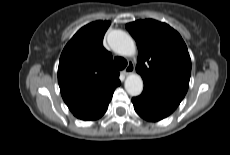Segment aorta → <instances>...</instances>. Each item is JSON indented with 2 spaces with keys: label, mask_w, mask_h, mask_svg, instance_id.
<instances>
[{
  "label": "aorta",
  "mask_w": 230,
  "mask_h": 155,
  "mask_svg": "<svg viewBox=\"0 0 230 155\" xmlns=\"http://www.w3.org/2000/svg\"><path fill=\"white\" fill-rule=\"evenodd\" d=\"M108 42L112 50L122 56H132L136 51L134 40L122 30L112 31ZM124 86L129 95L138 96L143 91V80L140 75L132 73L127 76Z\"/></svg>",
  "instance_id": "aorta-1"
}]
</instances>
